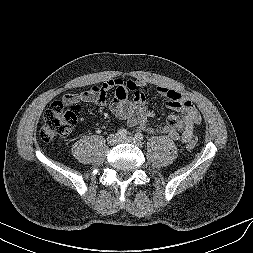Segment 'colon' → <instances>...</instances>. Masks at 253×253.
Masks as SVG:
<instances>
[{
    "instance_id": "5ec220e1",
    "label": "colon",
    "mask_w": 253,
    "mask_h": 253,
    "mask_svg": "<svg viewBox=\"0 0 253 253\" xmlns=\"http://www.w3.org/2000/svg\"><path fill=\"white\" fill-rule=\"evenodd\" d=\"M80 114L77 103L56 101L50 105L43 117L40 136L44 141H52L69 134L74 128ZM197 146V139L192 137L187 144L192 150Z\"/></svg>"
}]
</instances>
